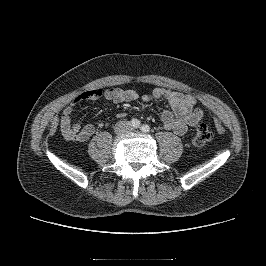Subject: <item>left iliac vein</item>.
Instances as JSON below:
<instances>
[{
    "label": "left iliac vein",
    "instance_id": "obj_1",
    "mask_svg": "<svg viewBox=\"0 0 266 266\" xmlns=\"http://www.w3.org/2000/svg\"><path fill=\"white\" fill-rule=\"evenodd\" d=\"M133 130L130 128V129H128V132H132Z\"/></svg>",
    "mask_w": 266,
    "mask_h": 266
}]
</instances>
